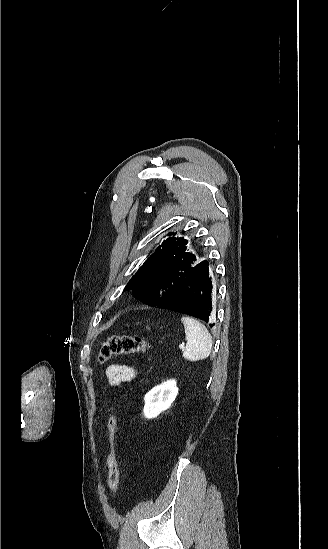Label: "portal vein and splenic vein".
I'll use <instances>...</instances> for the list:
<instances>
[{
  "mask_svg": "<svg viewBox=\"0 0 328 549\" xmlns=\"http://www.w3.org/2000/svg\"><path fill=\"white\" fill-rule=\"evenodd\" d=\"M183 345H184V343L179 344V350H182V349H183Z\"/></svg>",
  "mask_w": 328,
  "mask_h": 549,
  "instance_id": "1",
  "label": "portal vein and splenic vein"
}]
</instances>
